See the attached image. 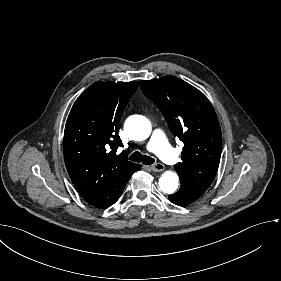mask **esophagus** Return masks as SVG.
I'll return each instance as SVG.
<instances>
[{
	"label": "esophagus",
	"instance_id": "esophagus-1",
	"mask_svg": "<svg viewBox=\"0 0 281 281\" xmlns=\"http://www.w3.org/2000/svg\"><path fill=\"white\" fill-rule=\"evenodd\" d=\"M151 169L154 171V172H160V171H163L165 169V166L162 164V163H156L155 165H153L151 167Z\"/></svg>",
	"mask_w": 281,
	"mask_h": 281
}]
</instances>
